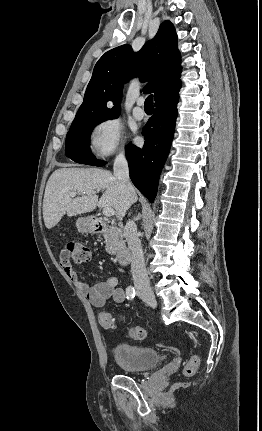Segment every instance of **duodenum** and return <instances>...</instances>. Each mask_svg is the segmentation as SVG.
<instances>
[{
  "label": "duodenum",
  "instance_id": "obj_1",
  "mask_svg": "<svg viewBox=\"0 0 262 431\" xmlns=\"http://www.w3.org/2000/svg\"><path fill=\"white\" fill-rule=\"evenodd\" d=\"M92 226L94 230L98 233L103 232L108 229V225L106 222L101 219H93ZM117 260L121 265H127L131 260L130 251L127 248H123L117 252Z\"/></svg>",
  "mask_w": 262,
  "mask_h": 431
}]
</instances>
